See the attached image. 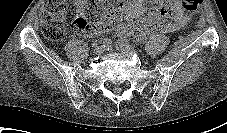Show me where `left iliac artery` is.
I'll use <instances>...</instances> for the list:
<instances>
[{"mask_svg": "<svg viewBox=\"0 0 227 133\" xmlns=\"http://www.w3.org/2000/svg\"><path fill=\"white\" fill-rule=\"evenodd\" d=\"M128 43L129 42V40L126 38V37H122V38H120L119 40H118V43Z\"/></svg>", "mask_w": 227, "mask_h": 133, "instance_id": "obj_1", "label": "left iliac artery"}]
</instances>
